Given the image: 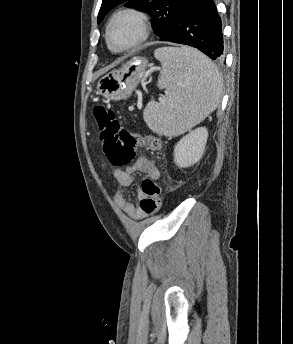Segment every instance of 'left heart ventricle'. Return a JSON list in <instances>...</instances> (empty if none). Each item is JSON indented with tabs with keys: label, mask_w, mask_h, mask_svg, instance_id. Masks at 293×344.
I'll use <instances>...</instances> for the list:
<instances>
[{
	"label": "left heart ventricle",
	"mask_w": 293,
	"mask_h": 344,
	"mask_svg": "<svg viewBox=\"0 0 293 344\" xmlns=\"http://www.w3.org/2000/svg\"><path fill=\"white\" fill-rule=\"evenodd\" d=\"M138 35L137 23L130 17L118 19L110 31L111 42L115 47H123L133 43Z\"/></svg>",
	"instance_id": "b2bd125f"
}]
</instances>
